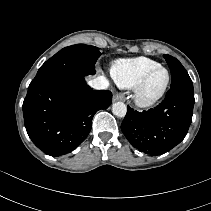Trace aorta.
<instances>
[{
	"label": "aorta",
	"instance_id": "1",
	"mask_svg": "<svg viewBox=\"0 0 211 211\" xmlns=\"http://www.w3.org/2000/svg\"><path fill=\"white\" fill-rule=\"evenodd\" d=\"M112 112L118 117H124L127 112V107L123 102H116L112 106Z\"/></svg>",
	"mask_w": 211,
	"mask_h": 211
}]
</instances>
